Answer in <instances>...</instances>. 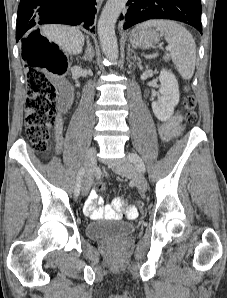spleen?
Here are the masks:
<instances>
[{
	"mask_svg": "<svg viewBox=\"0 0 227 298\" xmlns=\"http://www.w3.org/2000/svg\"><path fill=\"white\" fill-rule=\"evenodd\" d=\"M156 27L165 33L171 46V58L182 78H192L196 64V44L191 33L182 25L170 20H150L137 28Z\"/></svg>",
	"mask_w": 227,
	"mask_h": 298,
	"instance_id": "spleen-1",
	"label": "spleen"
}]
</instances>
